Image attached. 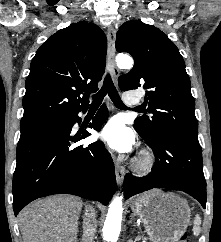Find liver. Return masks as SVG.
<instances>
[{"instance_id": "6515ba94", "label": "liver", "mask_w": 221, "mask_h": 242, "mask_svg": "<svg viewBox=\"0 0 221 242\" xmlns=\"http://www.w3.org/2000/svg\"><path fill=\"white\" fill-rule=\"evenodd\" d=\"M83 202L72 196L38 200L19 213L23 242H75Z\"/></svg>"}]
</instances>
